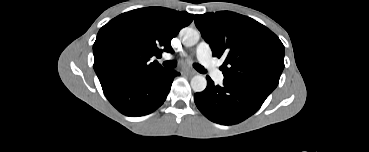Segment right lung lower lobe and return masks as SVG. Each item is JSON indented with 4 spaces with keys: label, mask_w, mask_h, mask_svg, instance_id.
<instances>
[{
    "label": "right lung lower lobe",
    "mask_w": 369,
    "mask_h": 152,
    "mask_svg": "<svg viewBox=\"0 0 369 152\" xmlns=\"http://www.w3.org/2000/svg\"><path fill=\"white\" fill-rule=\"evenodd\" d=\"M178 75L180 74L174 70L162 69L150 74L133 76L104 90V94L124 115L133 117L147 115L163 104L173 79Z\"/></svg>",
    "instance_id": "obj_1"
}]
</instances>
